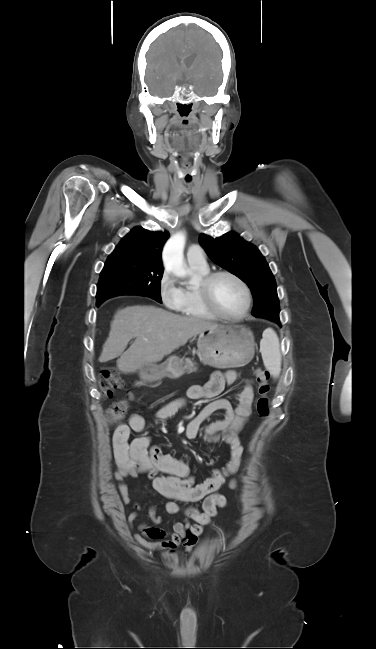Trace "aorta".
<instances>
[{
    "label": "aorta",
    "instance_id": "1",
    "mask_svg": "<svg viewBox=\"0 0 376 649\" xmlns=\"http://www.w3.org/2000/svg\"><path fill=\"white\" fill-rule=\"evenodd\" d=\"M185 240L184 233H176L167 241L162 255L165 268L178 277L188 275L183 255Z\"/></svg>",
    "mask_w": 376,
    "mask_h": 649
}]
</instances>
